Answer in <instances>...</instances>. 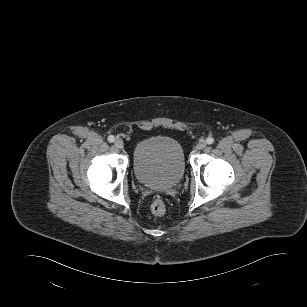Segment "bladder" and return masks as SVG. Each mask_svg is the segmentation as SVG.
Listing matches in <instances>:
<instances>
[{
	"mask_svg": "<svg viewBox=\"0 0 307 307\" xmlns=\"http://www.w3.org/2000/svg\"><path fill=\"white\" fill-rule=\"evenodd\" d=\"M133 171L142 185L163 190L176 186L186 170L182 145L174 138L156 136L139 142L133 151Z\"/></svg>",
	"mask_w": 307,
	"mask_h": 307,
	"instance_id": "obj_1",
	"label": "bladder"
}]
</instances>
